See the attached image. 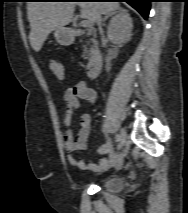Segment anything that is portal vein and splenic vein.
<instances>
[{
  "label": "portal vein and splenic vein",
  "instance_id": "1",
  "mask_svg": "<svg viewBox=\"0 0 188 213\" xmlns=\"http://www.w3.org/2000/svg\"><path fill=\"white\" fill-rule=\"evenodd\" d=\"M81 25H82V27L87 28V27H89V21L88 20H82Z\"/></svg>",
  "mask_w": 188,
  "mask_h": 213
}]
</instances>
